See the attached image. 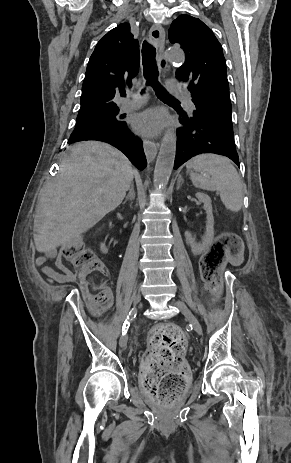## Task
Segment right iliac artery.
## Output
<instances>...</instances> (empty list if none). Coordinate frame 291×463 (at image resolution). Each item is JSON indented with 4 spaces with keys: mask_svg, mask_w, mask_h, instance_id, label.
Returning a JSON list of instances; mask_svg holds the SVG:
<instances>
[{
    "mask_svg": "<svg viewBox=\"0 0 291 463\" xmlns=\"http://www.w3.org/2000/svg\"><path fill=\"white\" fill-rule=\"evenodd\" d=\"M135 316H136V310L133 308V309L129 312V314H128L126 320H125L124 323H123V327H122V334H123V335L127 333V330H128V328H129V326H130V321H131Z\"/></svg>",
    "mask_w": 291,
    "mask_h": 463,
    "instance_id": "obj_1",
    "label": "right iliac artery"
}]
</instances>
